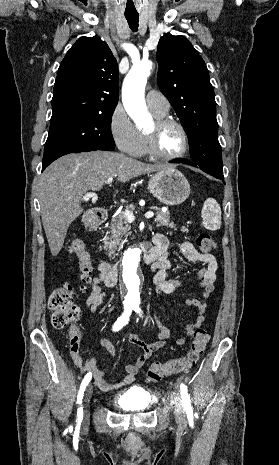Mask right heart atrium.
I'll return each mask as SVG.
<instances>
[{
	"label": "right heart atrium",
	"mask_w": 279,
	"mask_h": 465,
	"mask_svg": "<svg viewBox=\"0 0 279 465\" xmlns=\"http://www.w3.org/2000/svg\"><path fill=\"white\" fill-rule=\"evenodd\" d=\"M108 128L116 147L123 153L131 154L137 139V131L122 105L112 110Z\"/></svg>",
	"instance_id": "obj_1"
}]
</instances>
